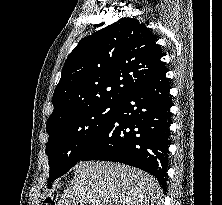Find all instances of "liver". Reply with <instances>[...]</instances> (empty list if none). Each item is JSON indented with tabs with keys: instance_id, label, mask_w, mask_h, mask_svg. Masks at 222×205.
<instances>
[{
	"instance_id": "liver-1",
	"label": "liver",
	"mask_w": 222,
	"mask_h": 205,
	"mask_svg": "<svg viewBox=\"0 0 222 205\" xmlns=\"http://www.w3.org/2000/svg\"><path fill=\"white\" fill-rule=\"evenodd\" d=\"M162 189L150 174L111 162H79L58 205H160Z\"/></svg>"
}]
</instances>
